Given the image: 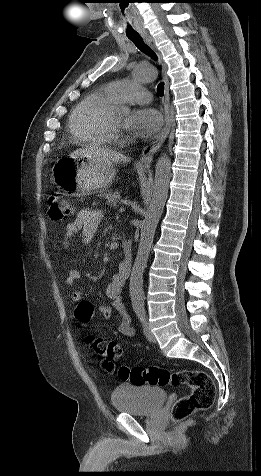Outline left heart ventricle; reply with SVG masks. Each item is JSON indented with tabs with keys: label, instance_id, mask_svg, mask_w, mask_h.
<instances>
[{
	"label": "left heart ventricle",
	"instance_id": "b2bd125f",
	"mask_svg": "<svg viewBox=\"0 0 261 476\" xmlns=\"http://www.w3.org/2000/svg\"><path fill=\"white\" fill-rule=\"evenodd\" d=\"M113 120L116 124L123 125L126 122L127 117L126 115H116L114 116Z\"/></svg>",
	"mask_w": 261,
	"mask_h": 476
}]
</instances>
